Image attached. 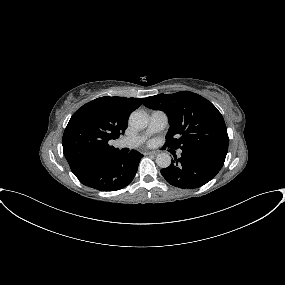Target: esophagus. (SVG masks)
I'll return each mask as SVG.
<instances>
[{
    "label": "esophagus",
    "mask_w": 285,
    "mask_h": 285,
    "mask_svg": "<svg viewBox=\"0 0 285 285\" xmlns=\"http://www.w3.org/2000/svg\"><path fill=\"white\" fill-rule=\"evenodd\" d=\"M147 155H150V156H156L157 155V152L155 151H149L146 153Z\"/></svg>",
    "instance_id": "34e87169"
}]
</instances>
